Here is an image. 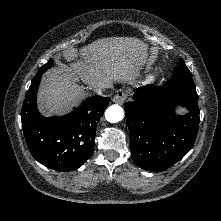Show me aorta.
I'll return each mask as SVG.
<instances>
[{
	"mask_svg": "<svg viewBox=\"0 0 221 221\" xmlns=\"http://www.w3.org/2000/svg\"><path fill=\"white\" fill-rule=\"evenodd\" d=\"M124 110L119 105H111L105 111V118L110 123H116L123 119Z\"/></svg>",
	"mask_w": 221,
	"mask_h": 221,
	"instance_id": "762f6f07",
	"label": "aorta"
}]
</instances>
